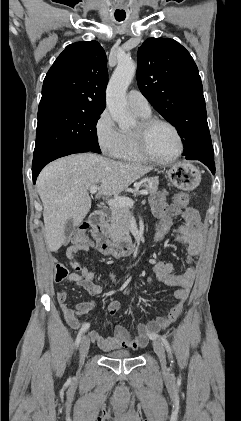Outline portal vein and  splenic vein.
Masks as SVG:
<instances>
[{"mask_svg":"<svg viewBox=\"0 0 241 421\" xmlns=\"http://www.w3.org/2000/svg\"><path fill=\"white\" fill-rule=\"evenodd\" d=\"M98 190V186L97 185H92L89 188V192L90 194H95ZM139 195H147L148 192L146 190H141L139 193ZM107 204L110 207H132L134 205V201L131 198L128 197H117L114 199H109L107 201Z\"/></svg>","mask_w":241,"mask_h":421,"instance_id":"obj_1","label":"portal vein and splenic vein"}]
</instances>
